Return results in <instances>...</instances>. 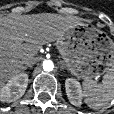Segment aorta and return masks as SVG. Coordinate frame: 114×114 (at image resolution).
<instances>
[{"label":"aorta","instance_id":"762f6f07","mask_svg":"<svg viewBox=\"0 0 114 114\" xmlns=\"http://www.w3.org/2000/svg\"><path fill=\"white\" fill-rule=\"evenodd\" d=\"M44 71L50 72L54 69V63L51 60H45L43 62Z\"/></svg>","mask_w":114,"mask_h":114}]
</instances>
